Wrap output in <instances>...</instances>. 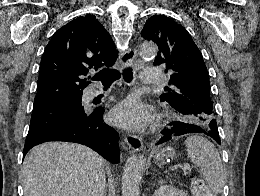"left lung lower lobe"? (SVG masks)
Instances as JSON below:
<instances>
[{"instance_id": "1", "label": "left lung lower lobe", "mask_w": 260, "mask_h": 196, "mask_svg": "<svg viewBox=\"0 0 260 196\" xmlns=\"http://www.w3.org/2000/svg\"><path fill=\"white\" fill-rule=\"evenodd\" d=\"M194 111L204 112V110H200V109H196ZM169 125H171L172 128L165 129L161 132V134H163V137L157 143V145L170 140L173 136H179L187 133H204L212 137L218 144H221L216 121L211 122L207 129H204L195 124H190L185 122H171L169 123Z\"/></svg>"}]
</instances>
